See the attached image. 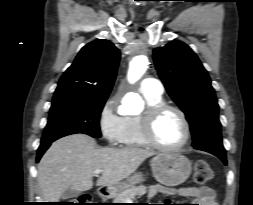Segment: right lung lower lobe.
<instances>
[{"instance_id": "98d812e1", "label": "right lung lower lobe", "mask_w": 253, "mask_h": 205, "mask_svg": "<svg viewBox=\"0 0 253 205\" xmlns=\"http://www.w3.org/2000/svg\"><path fill=\"white\" fill-rule=\"evenodd\" d=\"M52 142L53 141H48V142H43L40 144L38 151H37V158H36L37 162L40 160L41 156L48 149V147L51 145Z\"/></svg>"}]
</instances>
